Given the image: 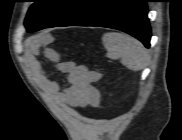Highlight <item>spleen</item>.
Here are the masks:
<instances>
[{"mask_svg": "<svg viewBox=\"0 0 182 140\" xmlns=\"http://www.w3.org/2000/svg\"><path fill=\"white\" fill-rule=\"evenodd\" d=\"M107 57L120 59L128 69L140 71L149 61V55L143 44L137 39L122 33H105L102 37Z\"/></svg>", "mask_w": 182, "mask_h": 140, "instance_id": "3e777b00", "label": "spleen"}]
</instances>
